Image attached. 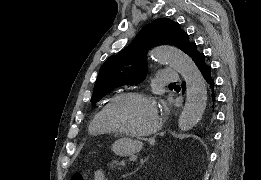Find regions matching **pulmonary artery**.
I'll use <instances>...</instances> for the list:
<instances>
[{"instance_id": "pulmonary-artery-1", "label": "pulmonary artery", "mask_w": 261, "mask_h": 180, "mask_svg": "<svg viewBox=\"0 0 261 180\" xmlns=\"http://www.w3.org/2000/svg\"><path fill=\"white\" fill-rule=\"evenodd\" d=\"M161 72H158V77H183V72H166V67L160 68ZM158 83H185V78H158Z\"/></svg>"}]
</instances>
